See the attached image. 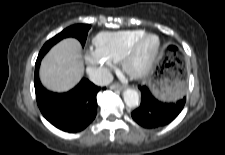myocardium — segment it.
<instances>
[{
	"label": "myocardium",
	"instance_id": "f54148a6",
	"mask_svg": "<svg viewBox=\"0 0 225 155\" xmlns=\"http://www.w3.org/2000/svg\"><path fill=\"white\" fill-rule=\"evenodd\" d=\"M150 38L155 39V46L152 51L142 56L141 50L143 44ZM161 48V40L154 33H144L127 50L122 58L124 70L132 77L141 78L146 76L152 69L157 60Z\"/></svg>",
	"mask_w": 225,
	"mask_h": 155
}]
</instances>
